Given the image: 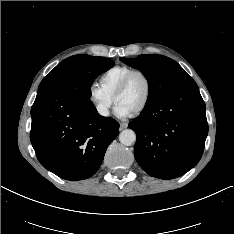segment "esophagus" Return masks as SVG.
Segmentation results:
<instances>
[{
	"instance_id": "obj_1",
	"label": "esophagus",
	"mask_w": 234,
	"mask_h": 234,
	"mask_svg": "<svg viewBox=\"0 0 234 234\" xmlns=\"http://www.w3.org/2000/svg\"><path fill=\"white\" fill-rule=\"evenodd\" d=\"M128 124L126 122H121L120 123V129L123 130L125 128H127Z\"/></svg>"
}]
</instances>
